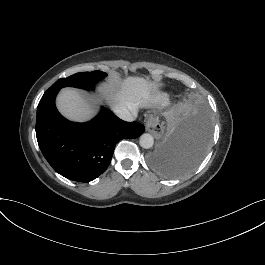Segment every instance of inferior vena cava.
Here are the masks:
<instances>
[{"label": "inferior vena cava", "instance_id": "1", "mask_svg": "<svg viewBox=\"0 0 265 265\" xmlns=\"http://www.w3.org/2000/svg\"><path fill=\"white\" fill-rule=\"evenodd\" d=\"M113 111L120 119L125 120V121H133L137 117V112L132 114L125 107H116L113 109Z\"/></svg>", "mask_w": 265, "mask_h": 265}]
</instances>
